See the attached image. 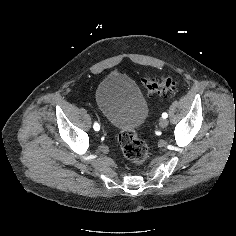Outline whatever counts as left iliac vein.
<instances>
[{"mask_svg":"<svg viewBox=\"0 0 236 236\" xmlns=\"http://www.w3.org/2000/svg\"><path fill=\"white\" fill-rule=\"evenodd\" d=\"M168 120L166 119V118H162L161 120H160V122H159V125H160V127L161 128H165V127H167L168 126Z\"/></svg>","mask_w":236,"mask_h":236,"instance_id":"obj_1","label":"left iliac vein"}]
</instances>
